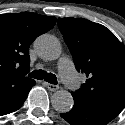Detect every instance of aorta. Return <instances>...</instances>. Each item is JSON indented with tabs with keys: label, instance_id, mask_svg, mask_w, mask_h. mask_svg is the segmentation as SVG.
I'll return each instance as SVG.
<instances>
[{
	"label": "aorta",
	"instance_id": "obj_1",
	"mask_svg": "<svg viewBox=\"0 0 125 125\" xmlns=\"http://www.w3.org/2000/svg\"><path fill=\"white\" fill-rule=\"evenodd\" d=\"M35 48L42 59L49 61L58 59L62 52L58 39L49 34L39 36L35 41ZM51 102L53 108L60 113L69 112L74 104L71 93L66 90L56 91Z\"/></svg>",
	"mask_w": 125,
	"mask_h": 125
}]
</instances>
